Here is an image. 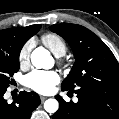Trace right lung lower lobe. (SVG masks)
Wrapping results in <instances>:
<instances>
[{"label": "right lung lower lobe", "mask_w": 119, "mask_h": 119, "mask_svg": "<svg viewBox=\"0 0 119 119\" xmlns=\"http://www.w3.org/2000/svg\"><path fill=\"white\" fill-rule=\"evenodd\" d=\"M7 88H0V119H30L32 112L41 103L35 92H20L17 99L8 104L3 95Z\"/></svg>", "instance_id": "right-lung-lower-lobe-1"}]
</instances>
